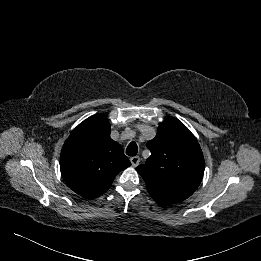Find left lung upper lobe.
Segmentation results:
<instances>
[{
    "instance_id": "obj_1",
    "label": "left lung upper lobe",
    "mask_w": 261,
    "mask_h": 261,
    "mask_svg": "<svg viewBox=\"0 0 261 261\" xmlns=\"http://www.w3.org/2000/svg\"><path fill=\"white\" fill-rule=\"evenodd\" d=\"M151 156L136 170L150 193L191 196L204 174L205 163L194 135L177 119H167L147 142Z\"/></svg>"
}]
</instances>
